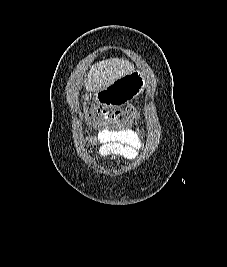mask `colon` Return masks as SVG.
Masks as SVG:
<instances>
[{"label":"colon","instance_id":"obj_1","mask_svg":"<svg viewBox=\"0 0 227 267\" xmlns=\"http://www.w3.org/2000/svg\"><path fill=\"white\" fill-rule=\"evenodd\" d=\"M88 119L95 127V130H125V125H133V120L138 119V114H134L132 109L129 110H101L100 108L90 107L85 110Z\"/></svg>","mask_w":227,"mask_h":267}]
</instances>
